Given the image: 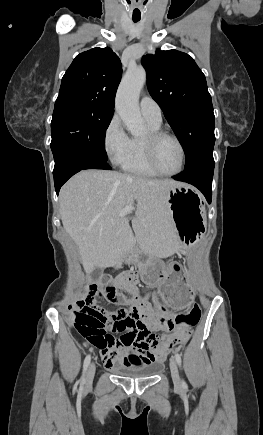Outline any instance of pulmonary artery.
I'll list each match as a JSON object with an SVG mask.
<instances>
[{"instance_id": "pulmonary-artery-1", "label": "pulmonary artery", "mask_w": 263, "mask_h": 435, "mask_svg": "<svg viewBox=\"0 0 263 435\" xmlns=\"http://www.w3.org/2000/svg\"><path fill=\"white\" fill-rule=\"evenodd\" d=\"M140 111L145 119L155 123L162 122V111L157 102L149 96H144L140 101Z\"/></svg>"}]
</instances>
